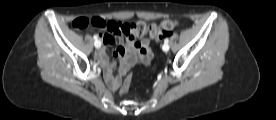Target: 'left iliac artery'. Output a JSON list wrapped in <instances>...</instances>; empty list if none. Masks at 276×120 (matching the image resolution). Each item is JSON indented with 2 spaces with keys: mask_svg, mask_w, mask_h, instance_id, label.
<instances>
[{
  "mask_svg": "<svg viewBox=\"0 0 276 120\" xmlns=\"http://www.w3.org/2000/svg\"><path fill=\"white\" fill-rule=\"evenodd\" d=\"M169 40L168 39H165L164 40V44H168Z\"/></svg>",
  "mask_w": 276,
  "mask_h": 120,
  "instance_id": "left-iliac-artery-1",
  "label": "left iliac artery"
}]
</instances>
